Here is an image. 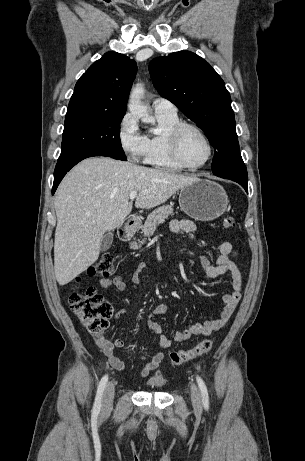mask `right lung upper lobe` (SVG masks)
<instances>
[{
    "mask_svg": "<svg viewBox=\"0 0 305 461\" xmlns=\"http://www.w3.org/2000/svg\"><path fill=\"white\" fill-rule=\"evenodd\" d=\"M136 73L134 60L120 53H106L80 77L68 109L86 108L125 114Z\"/></svg>",
    "mask_w": 305,
    "mask_h": 461,
    "instance_id": "1",
    "label": "right lung upper lobe"
}]
</instances>
